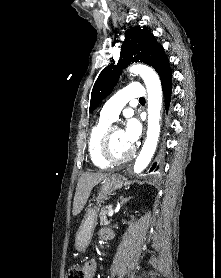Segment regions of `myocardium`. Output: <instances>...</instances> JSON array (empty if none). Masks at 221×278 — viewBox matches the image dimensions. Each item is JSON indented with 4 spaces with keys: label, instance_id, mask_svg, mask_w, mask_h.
Segmentation results:
<instances>
[{
    "label": "myocardium",
    "instance_id": "1",
    "mask_svg": "<svg viewBox=\"0 0 221 278\" xmlns=\"http://www.w3.org/2000/svg\"><path fill=\"white\" fill-rule=\"evenodd\" d=\"M115 128L119 129L117 126H109L105 130L104 134L101 137L99 154L106 163L111 165H120L131 160L135 154V150L134 148H131L129 153L122 158H115L110 154V138H111V133Z\"/></svg>",
    "mask_w": 221,
    "mask_h": 278
}]
</instances>
